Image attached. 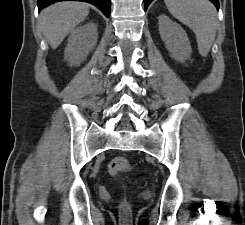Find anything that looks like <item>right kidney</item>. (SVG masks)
<instances>
[{"label": "right kidney", "mask_w": 245, "mask_h": 225, "mask_svg": "<svg viewBox=\"0 0 245 225\" xmlns=\"http://www.w3.org/2000/svg\"><path fill=\"white\" fill-rule=\"evenodd\" d=\"M98 39L97 25L93 22L74 29L65 48V59L70 65H79L95 47Z\"/></svg>", "instance_id": "right-kidney-1"}]
</instances>
